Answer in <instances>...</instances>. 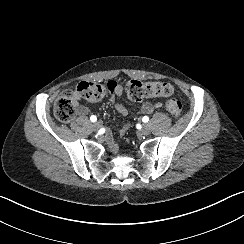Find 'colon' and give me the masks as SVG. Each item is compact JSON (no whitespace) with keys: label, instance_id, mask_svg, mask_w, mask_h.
Wrapping results in <instances>:
<instances>
[{"label":"colon","instance_id":"1","mask_svg":"<svg viewBox=\"0 0 244 244\" xmlns=\"http://www.w3.org/2000/svg\"><path fill=\"white\" fill-rule=\"evenodd\" d=\"M125 90L129 99L133 101L157 97L166 98V110L173 118H178L182 112V104L173 97L174 88L169 83L131 79L126 83ZM106 93V88L99 82H81L76 88L61 93L55 103L54 114L60 121H71L76 115L77 105L81 98L95 102L101 100Z\"/></svg>","mask_w":244,"mask_h":244}]
</instances>
